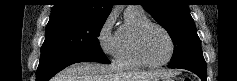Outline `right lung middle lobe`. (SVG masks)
I'll return each mask as SVG.
<instances>
[{"label": "right lung middle lobe", "instance_id": "obj_1", "mask_svg": "<svg viewBox=\"0 0 237 81\" xmlns=\"http://www.w3.org/2000/svg\"><path fill=\"white\" fill-rule=\"evenodd\" d=\"M106 19L65 16L50 19L45 31L43 54H90L106 57L98 36Z\"/></svg>", "mask_w": 237, "mask_h": 81}]
</instances>
